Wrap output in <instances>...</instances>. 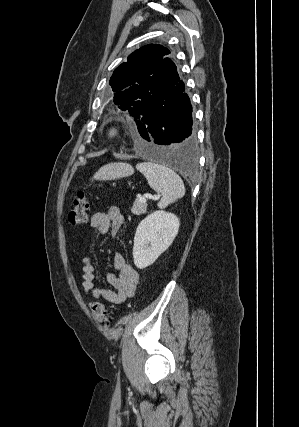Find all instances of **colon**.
<instances>
[{
  "label": "colon",
  "instance_id": "5ec220e1",
  "mask_svg": "<svg viewBox=\"0 0 299 427\" xmlns=\"http://www.w3.org/2000/svg\"><path fill=\"white\" fill-rule=\"evenodd\" d=\"M89 209V199L85 192L80 191L76 194L72 207L68 214L69 223L72 226H81L86 222ZM90 309L95 321L103 326H109L111 322V313L99 301L90 303Z\"/></svg>",
  "mask_w": 299,
  "mask_h": 427
}]
</instances>
